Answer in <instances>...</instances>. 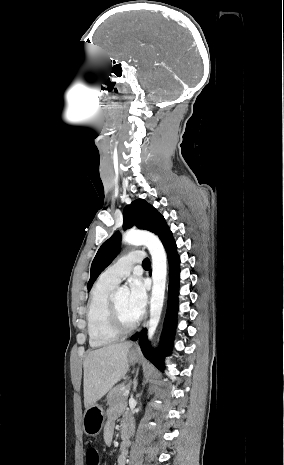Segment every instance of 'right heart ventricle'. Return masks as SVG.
I'll use <instances>...</instances> for the list:
<instances>
[{
	"instance_id": "obj_1",
	"label": "right heart ventricle",
	"mask_w": 284,
	"mask_h": 465,
	"mask_svg": "<svg viewBox=\"0 0 284 465\" xmlns=\"http://www.w3.org/2000/svg\"><path fill=\"white\" fill-rule=\"evenodd\" d=\"M116 285L98 280L86 305V324L90 346H110L118 337L108 328L110 292Z\"/></svg>"
}]
</instances>
